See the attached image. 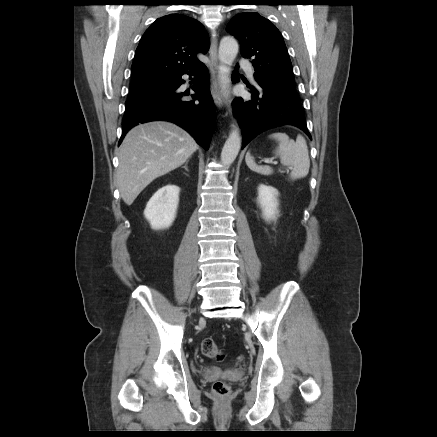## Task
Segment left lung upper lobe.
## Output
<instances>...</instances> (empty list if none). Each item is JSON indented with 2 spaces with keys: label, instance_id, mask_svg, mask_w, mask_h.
<instances>
[{
  "label": "left lung upper lobe",
  "instance_id": "1",
  "mask_svg": "<svg viewBox=\"0 0 437 437\" xmlns=\"http://www.w3.org/2000/svg\"><path fill=\"white\" fill-rule=\"evenodd\" d=\"M241 45V55L251 58L258 84L297 97L292 64L280 31L256 12L234 16L226 27Z\"/></svg>",
  "mask_w": 437,
  "mask_h": 437
}]
</instances>
